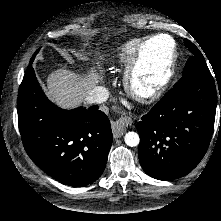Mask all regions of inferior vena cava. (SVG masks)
<instances>
[{"label":"inferior vena cava","instance_id":"1","mask_svg":"<svg viewBox=\"0 0 221 221\" xmlns=\"http://www.w3.org/2000/svg\"><path fill=\"white\" fill-rule=\"evenodd\" d=\"M109 97V91L107 88L98 86L90 91L86 97V101L89 104H100L105 102Z\"/></svg>","mask_w":221,"mask_h":221}]
</instances>
